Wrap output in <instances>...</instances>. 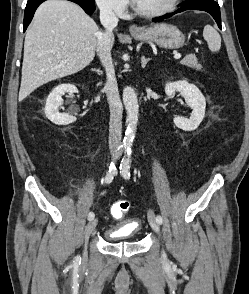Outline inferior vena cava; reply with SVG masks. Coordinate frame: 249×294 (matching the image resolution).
Returning a JSON list of instances; mask_svg holds the SVG:
<instances>
[{
  "instance_id": "1",
  "label": "inferior vena cava",
  "mask_w": 249,
  "mask_h": 294,
  "mask_svg": "<svg viewBox=\"0 0 249 294\" xmlns=\"http://www.w3.org/2000/svg\"><path fill=\"white\" fill-rule=\"evenodd\" d=\"M100 21L105 31L100 34L96 51L107 76L104 91L110 108L109 146L116 148L121 144L123 106L119 97L118 84L111 58V48L113 45V29L118 24V18L110 7L101 5Z\"/></svg>"
}]
</instances>
